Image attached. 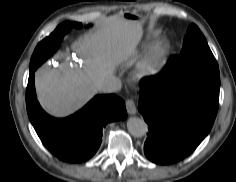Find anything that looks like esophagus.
Listing matches in <instances>:
<instances>
[{"label":"esophagus","mask_w":236,"mask_h":182,"mask_svg":"<svg viewBox=\"0 0 236 182\" xmlns=\"http://www.w3.org/2000/svg\"><path fill=\"white\" fill-rule=\"evenodd\" d=\"M126 109L130 115H135L137 113L135 102L132 99L126 100Z\"/></svg>","instance_id":"esophagus-1"}]
</instances>
